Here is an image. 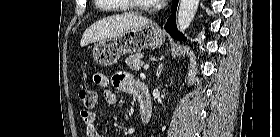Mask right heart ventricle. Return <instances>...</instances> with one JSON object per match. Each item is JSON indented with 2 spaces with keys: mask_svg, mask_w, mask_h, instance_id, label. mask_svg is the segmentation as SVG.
I'll return each mask as SVG.
<instances>
[{
  "mask_svg": "<svg viewBox=\"0 0 280 137\" xmlns=\"http://www.w3.org/2000/svg\"><path fill=\"white\" fill-rule=\"evenodd\" d=\"M97 2H102V1H106V0H96ZM119 1H121V2H124V0H119ZM131 9L129 8V7H123V8H121V10L120 11H130Z\"/></svg>",
  "mask_w": 280,
  "mask_h": 137,
  "instance_id": "1",
  "label": "right heart ventricle"
}]
</instances>
